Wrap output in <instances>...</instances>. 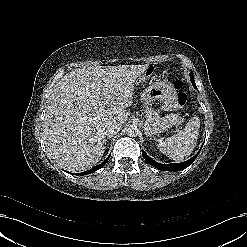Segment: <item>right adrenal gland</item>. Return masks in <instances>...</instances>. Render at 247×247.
<instances>
[{"mask_svg": "<svg viewBox=\"0 0 247 247\" xmlns=\"http://www.w3.org/2000/svg\"><path fill=\"white\" fill-rule=\"evenodd\" d=\"M111 137H108L106 140H105V145H106V143L108 142V140L110 139Z\"/></svg>", "mask_w": 247, "mask_h": 247, "instance_id": "obj_1", "label": "right adrenal gland"}]
</instances>
